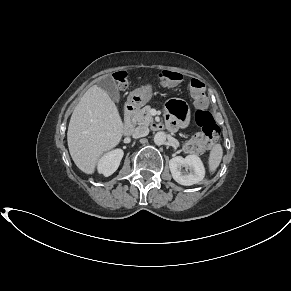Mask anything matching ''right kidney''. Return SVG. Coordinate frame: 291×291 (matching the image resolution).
<instances>
[{
  "label": "right kidney",
  "mask_w": 291,
  "mask_h": 291,
  "mask_svg": "<svg viewBox=\"0 0 291 291\" xmlns=\"http://www.w3.org/2000/svg\"><path fill=\"white\" fill-rule=\"evenodd\" d=\"M123 154L121 149H115L106 153L98 162V172L106 177L112 175L118 169Z\"/></svg>",
  "instance_id": "ca27d5eb"
}]
</instances>
